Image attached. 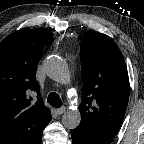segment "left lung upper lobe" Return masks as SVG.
Returning <instances> with one entry per match:
<instances>
[{
	"label": "left lung upper lobe",
	"mask_w": 144,
	"mask_h": 144,
	"mask_svg": "<svg viewBox=\"0 0 144 144\" xmlns=\"http://www.w3.org/2000/svg\"><path fill=\"white\" fill-rule=\"evenodd\" d=\"M80 52L84 85L77 128L91 138L112 142L129 99L124 58L110 37L92 30L86 33Z\"/></svg>",
	"instance_id": "left-lung-upper-lobe-1"
}]
</instances>
